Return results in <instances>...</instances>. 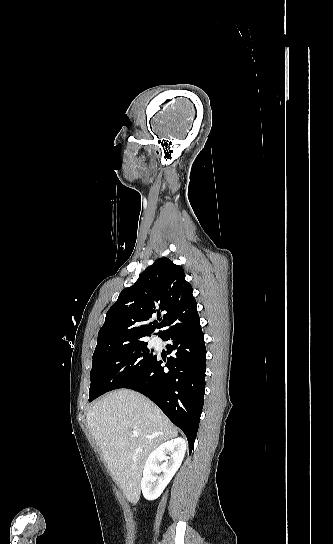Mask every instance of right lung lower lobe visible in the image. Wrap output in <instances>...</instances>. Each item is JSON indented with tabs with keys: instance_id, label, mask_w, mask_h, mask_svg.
<instances>
[{
	"instance_id": "right-lung-lower-lobe-1",
	"label": "right lung lower lobe",
	"mask_w": 333,
	"mask_h": 544,
	"mask_svg": "<svg viewBox=\"0 0 333 544\" xmlns=\"http://www.w3.org/2000/svg\"><path fill=\"white\" fill-rule=\"evenodd\" d=\"M170 340L164 371L156 356L144 373L123 388L151 399L186 435L189 450L196 439L204 404L206 347L198 313L168 328L161 336ZM165 361V360H164Z\"/></svg>"
}]
</instances>
